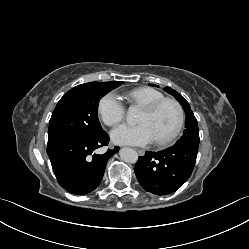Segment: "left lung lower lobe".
Returning a JSON list of instances; mask_svg holds the SVG:
<instances>
[{
  "instance_id": "left-lung-lower-lobe-1",
  "label": "left lung lower lobe",
  "mask_w": 249,
  "mask_h": 249,
  "mask_svg": "<svg viewBox=\"0 0 249 249\" xmlns=\"http://www.w3.org/2000/svg\"><path fill=\"white\" fill-rule=\"evenodd\" d=\"M197 152L195 145H174L159 152H146L134 168L140 185L157 195L175 192L190 177Z\"/></svg>"
}]
</instances>
